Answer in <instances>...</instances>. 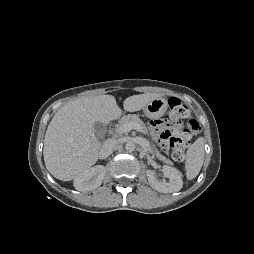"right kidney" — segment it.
<instances>
[{
  "label": "right kidney",
  "instance_id": "right-kidney-1",
  "mask_svg": "<svg viewBox=\"0 0 254 254\" xmlns=\"http://www.w3.org/2000/svg\"><path fill=\"white\" fill-rule=\"evenodd\" d=\"M105 172L106 170L103 165H97L87 169L83 174L75 178V189L81 192H87L96 189L102 184Z\"/></svg>",
  "mask_w": 254,
  "mask_h": 254
}]
</instances>
